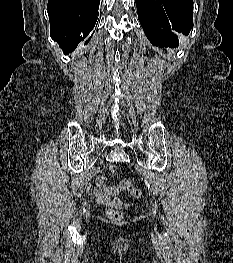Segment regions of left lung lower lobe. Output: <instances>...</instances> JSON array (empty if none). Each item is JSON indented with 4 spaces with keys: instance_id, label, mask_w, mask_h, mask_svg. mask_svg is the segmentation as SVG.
<instances>
[{
    "instance_id": "1",
    "label": "left lung lower lobe",
    "mask_w": 233,
    "mask_h": 263,
    "mask_svg": "<svg viewBox=\"0 0 233 263\" xmlns=\"http://www.w3.org/2000/svg\"><path fill=\"white\" fill-rule=\"evenodd\" d=\"M139 22L154 46L176 47L175 32L193 28V0H135Z\"/></svg>"
}]
</instances>
